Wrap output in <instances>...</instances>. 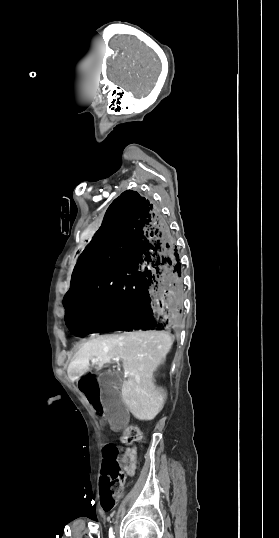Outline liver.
Returning a JSON list of instances; mask_svg holds the SVG:
<instances>
[{"instance_id": "liver-1", "label": "liver", "mask_w": 279, "mask_h": 538, "mask_svg": "<svg viewBox=\"0 0 279 538\" xmlns=\"http://www.w3.org/2000/svg\"><path fill=\"white\" fill-rule=\"evenodd\" d=\"M168 332H125L115 336H100L86 342L68 366L71 378H80L89 370V362L97 358L98 370L111 364L113 358L123 360L126 380L122 400L137 420H154L164 406L163 390H156L153 372L163 364L172 348Z\"/></svg>"}]
</instances>
